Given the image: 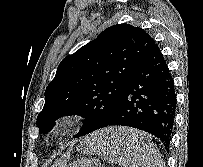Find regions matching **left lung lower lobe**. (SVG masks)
Listing matches in <instances>:
<instances>
[{
    "label": "left lung lower lobe",
    "instance_id": "left-lung-lower-lobe-1",
    "mask_svg": "<svg viewBox=\"0 0 203 167\" xmlns=\"http://www.w3.org/2000/svg\"><path fill=\"white\" fill-rule=\"evenodd\" d=\"M176 111L174 80L158 45L135 68L113 115L98 129L122 125L155 135L169 151ZM103 147L121 148L124 141L104 140Z\"/></svg>",
    "mask_w": 203,
    "mask_h": 167
}]
</instances>
